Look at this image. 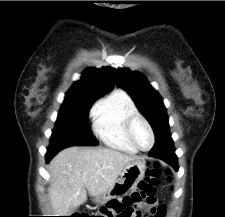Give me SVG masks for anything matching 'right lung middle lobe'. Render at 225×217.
Masks as SVG:
<instances>
[{
    "label": "right lung middle lobe",
    "instance_id": "1",
    "mask_svg": "<svg viewBox=\"0 0 225 217\" xmlns=\"http://www.w3.org/2000/svg\"><path fill=\"white\" fill-rule=\"evenodd\" d=\"M97 98L99 97L65 98L52 131L49 148L61 150L73 145L94 146L98 144L88 123L89 109Z\"/></svg>",
    "mask_w": 225,
    "mask_h": 217
}]
</instances>
